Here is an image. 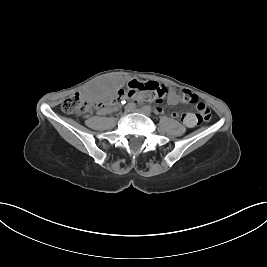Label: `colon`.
Here are the masks:
<instances>
[{
  "label": "colon",
  "mask_w": 267,
  "mask_h": 267,
  "mask_svg": "<svg viewBox=\"0 0 267 267\" xmlns=\"http://www.w3.org/2000/svg\"><path fill=\"white\" fill-rule=\"evenodd\" d=\"M168 93V88L155 81L132 80L128 83L127 89H120L115 95L111 96L106 103H91L83 94L75 93L66 98L62 103V110L67 114L83 115L90 112L93 108L114 105L120 100L127 98H141L147 101L160 103ZM182 102L196 104L197 113L195 118L197 123L208 122L211 118L208 107L204 104L197 105V97L190 91H183L181 94Z\"/></svg>",
  "instance_id": "5ec220e1"
}]
</instances>
